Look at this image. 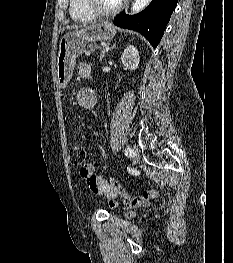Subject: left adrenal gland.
<instances>
[{
	"instance_id": "1",
	"label": "left adrenal gland",
	"mask_w": 233,
	"mask_h": 263,
	"mask_svg": "<svg viewBox=\"0 0 233 263\" xmlns=\"http://www.w3.org/2000/svg\"><path fill=\"white\" fill-rule=\"evenodd\" d=\"M114 46H115V44H113L112 46H110V43H107V44L103 47V49H102V51H101L99 61H102L105 53L108 52L110 49H112Z\"/></svg>"
}]
</instances>
